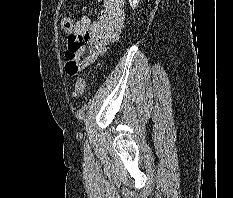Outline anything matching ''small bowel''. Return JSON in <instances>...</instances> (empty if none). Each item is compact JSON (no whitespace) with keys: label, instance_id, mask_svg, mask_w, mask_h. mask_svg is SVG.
Wrapping results in <instances>:
<instances>
[{"label":"small bowel","instance_id":"obj_1","mask_svg":"<svg viewBox=\"0 0 233 198\" xmlns=\"http://www.w3.org/2000/svg\"><path fill=\"white\" fill-rule=\"evenodd\" d=\"M124 19V0H102L96 21L84 16L74 23L68 36L66 56L73 52L79 71L90 67L105 53L106 46L118 37Z\"/></svg>","mask_w":233,"mask_h":198}]
</instances>
